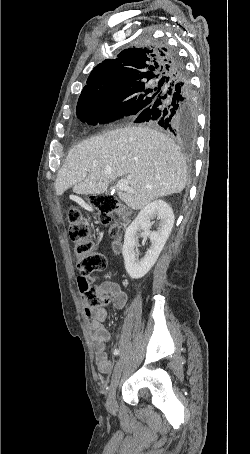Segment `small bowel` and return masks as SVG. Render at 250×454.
I'll list each match as a JSON object with an SVG mask.
<instances>
[{
  "instance_id": "obj_1",
  "label": "small bowel",
  "mask_w": 250,
  "mask_h": 454,
  "mask_svg": "<svg viewBox=\"0 0 250 454\" xmlns=\"http://www.w3.org/2000/svg\"><path fill=\"white\" fill-rule=\"evenodd\" d=\"M94 280L95 278L87 276L78 277V287L85 302L86 291L89 287V283ZM97 294L100 297L109 295L112 298L113 306L116 309L121 310L126 307L128 297L121 287L115 282L105 281L101 283L97 289ZM86 316L89 319L91 338L95 347V362L97 368L102 374L108 375L113 371V364L108 358L106 347V342L110 339V332L103 324L108 318L107 311L105 309L87 308Z\"/></svg>"
}]
</instances>
